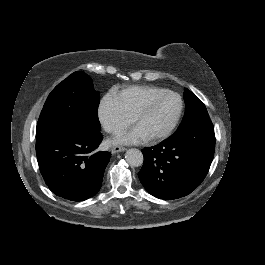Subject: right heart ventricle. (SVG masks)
<instances>
[{
  "label": "right heart ventricle",
  "instance_id": "obj_1",
  "mask_svg": "<svg viewBox=\"0 0 265 265\" xmlns=\"http://www.w3.org/2000/svg\"><path fill=\"white\" fill-rule=\"evenodd\" d=\"M160 88L155 86L134 85L128 86L115 94L116 100L122 109L134 117L135 112L139 109L146 98L154 91Z\"/></svg>",
  "mask_w": 265,
  "mask_h": 265
}]
</instances>
